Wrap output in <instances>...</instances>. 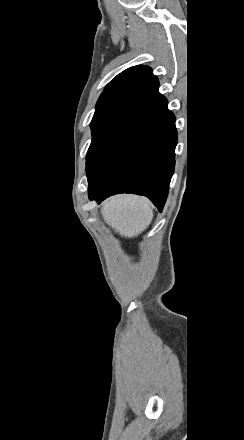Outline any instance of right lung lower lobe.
<instances>
[{
    "instance_id": "98d812e1",
    "label": "right lung lower lobe",
    "mask_w": 244,
    "mask_h": 440,
    "mask_svg": "<svg viewBox=\"0 0 244 440\" xmlns=\"http://www.w3.org/2000/svg\"><path fill=\"white\" fill-rule=\"evenodd\" d=\"M175 117L158 89L140 99L106 137L87 170L88 195L149 197L161 210L175 166Z\"/></svg>"
}]
</instances>
